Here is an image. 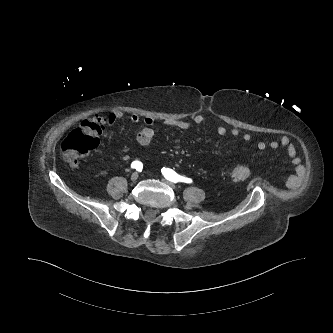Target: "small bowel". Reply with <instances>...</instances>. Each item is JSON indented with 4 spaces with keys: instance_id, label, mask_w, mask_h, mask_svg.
Returning a JSON list of instances; mask_svg holds the SVG:
<instances>
[{
    "instance_id": "1",
    "label": "small bowel",
    "mask_w": 333,
    "mask_h": 333,
    "mask_svg": "<svg viewBox=\"0 0 333 333\" xmlns=\"http://www.w3.org/2000/svg\"><path fill=\"white\" fill-rule=\"evenodd\" d=\"M123 114L120 111L112 112L110 115V121L116 122L122 118ZM131 122L138 123L140 121V117L136 114L131 115L130 117ZM204 122V116L201 114H197L193 118V123L195 125H201ZM144 127L138 132L137 134V142L142 146L149 145L153 138H154V129L153 125L155 120L152 117H145L143 119ZM165 124L168 127H172L178 130H186L191 126V122L188 120H167ZM215 131L218 135H225L229 133L233 137H238L241 135V132L237 128H231L228 130L224 125H217ZM242 139L246 142L251 140V135L249 133H244L241 135ZM267 145L272 149H277L278 147L282 146L288 155V158L295 168L296 175L299 176L302 174L303 166L301 159L298 157L296 148L290 138L286 135H283L279 140H272L268 144L264 140H258L256 142V146L258 149L263 150L267 147ZM296 177H292L290 179V183H295Z\"/></svg>"
}]
</instances>
